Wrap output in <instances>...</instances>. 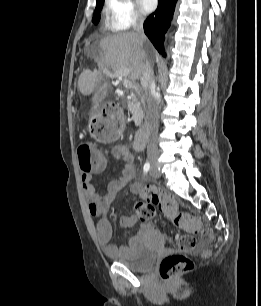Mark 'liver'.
Wrapping results in <instances>:
<instances>
[{"label": "liver", "instance_id": "obj_1", "mask_svg": "<svg viewBox=\"0 0 261 306\" xmlns=\"http://www.w3.org/2000/svg\"><path fill=\"white\" fill-rule=\"evenodd\" d=\"M143 41L134 32L118 33L104 37L100 40L99 46L102 49L99 69L93 71L86 69L78 79L79 91L88 96L93 93L100 84L104 70H112L114 73L123 68H129V79H138L143 70L144 60L141 57Z\"/></svg>", "mask_w": 261, "mask_h": 306}]
</instances>
